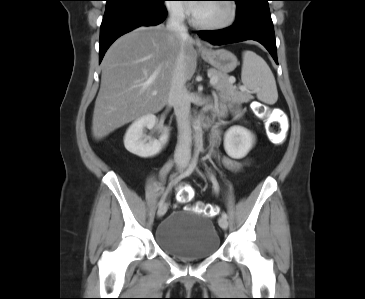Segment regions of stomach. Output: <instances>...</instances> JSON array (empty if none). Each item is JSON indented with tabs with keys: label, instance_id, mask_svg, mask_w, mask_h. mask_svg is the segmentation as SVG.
I'll use <instances>...</instances> for the list:
<instances>
[{
	"label": "stomach",
	"instance_id": "obj_1",
	"mask_svg": "<svg viewBox=\"0 0 365 299\" xmlns=\"http://www.w3.org/2000/svg\"><path fill=\"white\" fill-rule=\"evenodd\" d=\"M201 56L212 67L225 74L233 71L238 65L236 56L225 49L206 50Z\"/></svg>",
	"mask_w": 365,
	"mask_h": 299
}]
</instances>
